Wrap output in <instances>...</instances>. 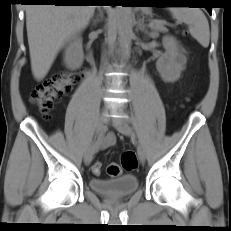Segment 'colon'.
Listing matches in <instances>:
<instances>
[{"label":"colon","mask_w":231,"mask_h":231,"mask_svg":"<svg viewBox=\"0 0 231 231\" xmlns=\"http://www.w3.org/2000/svg\"><path fill=\"white\" fill-rule=\"evenodd\" d=\"M80 78V72L57 73L33 89L31 100L48 118L54 102L68 94ZM137 167L138 159L136 153L134 151H126L121 156V164L111 163L107 166L106 171L109 176L116 177L121 174L122 169L132 171ZM91 170L93 174L99 175L102 171V163L95 162Z\"/></svg>","instance_id":"colon-1"}]
</instances>
